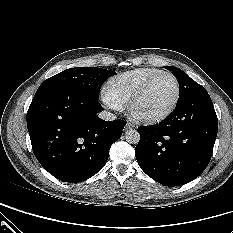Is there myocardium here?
Segmentation results:
<instances>
[{"label":"myocardium","instance_id":"myocardium-1","mask_svg":"<svg viewBox=\"0 0 233 233\" xmlns=\"http://www.w3.org/2000/svg\"><path fill=\"white\" fill-rule=\"evenodd\" d=\"M163 75L170 76L174 80L175 86H176V94H175V97H174L172 103L170 104V106L166 110H164L163 112L158 113V114H154V115H143V114L137 113L135 111L136 103L143 97V95L146 93V91L148 90L150 85L158 77L163 76ZM180 96H181V86H180V82H179L178 78L170 71H160V72L154 74L153 76H151L150 78H148L134 92V94L130 97V99L127 102V109H128L130 116L133 119L140 121V122H143V123L153 124V123H157V122H161V121L165 120L167 117H169L173 113V111L177 107V104L180 100Z\"/></svg>","mask_w":233,"mask_h":233}]
</instances>
